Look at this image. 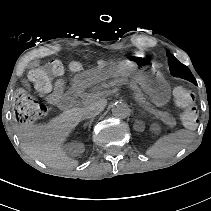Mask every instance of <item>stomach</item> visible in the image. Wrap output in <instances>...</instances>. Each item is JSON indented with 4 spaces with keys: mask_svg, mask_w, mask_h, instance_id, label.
Masks as SVG:
<instances>
[{
    "mask_svg": "<svg viewBox=\"0 0 211 211\" xmlns=\"http://www.w3.org/2000/svg\"><path fill=\"white\" fill-rule=\"evenodd\" d=\"M109 78H121L139 84L157 107L164 106L170 100V86L161 74L148 72L142 67L132 65L88 70L77 77V82L81 86H89Z\"/></svg>",
    "mask_w": 211,
    "mask_h": 211,
    "instance_id": "1",
    "label": "stomach"
}]
</instances>
